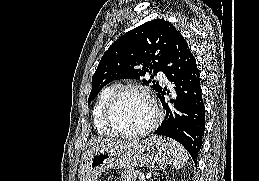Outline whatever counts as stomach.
Returning a JSON list of instances; mask_svg holds the SVG:
<instances>
[{
    "mask_svg": "<svg viewBox=\"0 0 259 181\" xmlns=\"http://www.w3.org/2000/svg\"><path fill=\"white\" fill-rule=\"evenodd\" d=\"M173 159L168 142L160 136L135 140L123 147L91 148L82 157L80 181H97L109 169L149 167L164 169Z\"/></svg>",
    "mask_w": 259,
    "mask_h": 181,
    "instance_id": "0dacf381",
    "label": "stomach"
}]
</instances>
